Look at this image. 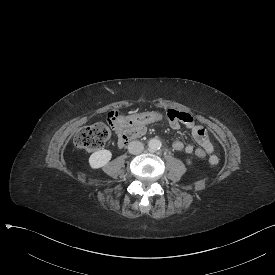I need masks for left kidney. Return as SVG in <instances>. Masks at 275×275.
Wrapping results in <instances>:
<instances>
[{
  "label": "left kidney",
  "instance_id": "1",
  "mask_svg": "<svg viewBox=\"0 0 275 275\" xmlns=\"http://www.w3.org/2000/svg\"><path fill=\"white\" fill-rule=\"evenodd\" d=\"M184 162L186 163V165H188L190 167L194 166L193 161L191 159H189V158H185Z\"/></svg>",
  "mask_w": 275,
  "mask_h": 275
}]
</instances>
